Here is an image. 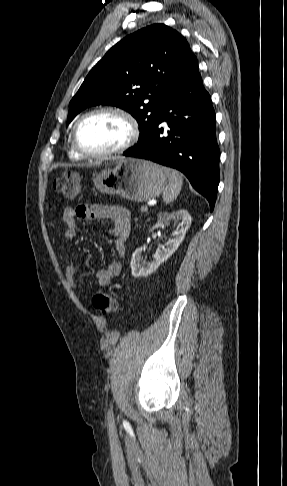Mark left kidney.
Wrapping results in <instances>:
<instances>
[{
	"instance_id": "1",
	"label": "left kidney",
	"mask_w": 287,
	"mask_h": 486,
	"mask_svg": "<svg viewBox=\"0 0 287 486\" xmlns=\"http://www.w3.org/2000/svg\"><path fill=\"white\" fill-rule=\"evenodd\" d=\"M157 218L158 221L156 225L149 231H153L158 227H164L170 224L172 220L175 222L180 221V227L175 231V237L169 239L162 249L156 251L152 262L142 264L141 253L144 251V248L140 247L135 250L130 263L132 275L135 278L146 277L152 274L164 261H166L178 249L192 222L190 214L184 209H180L173 213H159Z\"/></svg>"
}]
</instances>
